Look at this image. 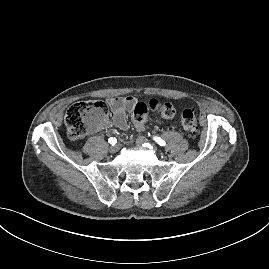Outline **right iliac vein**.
Instances as JSON below:
<instances>
[{"label": "right iliac vein", "instance_id": "63e3f726", "mask_svg": "<svg viewBox=\"0 0 269 269\" xmlns=\"http://www.w3.org/2000/svg\"><path fill=\"white\" fill-rule=\"evenodd\" d=\"M119 147H121V144H118V146L117 145H112V146L109 147V151L111 153H116L118 151Z\"/></svg>", "mask_w": 269, "mask_h": 269}]
</instances>
